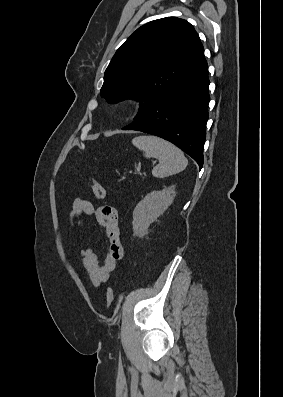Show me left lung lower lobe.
I'll return each mask as SVG.
<instances>
[{
  "label": "left lung lower lobe",
  "instance_id": "1",
  "mask_svg": "<svg viewBox=\"0 0 283 397\" xmlns=\"http://www.w3.org/2000/svg\"><path fill=\"white\" fill-rule=\"evenodd\" d=\"M207 62L160 96L123 130H137L166 139L203 166V146L209 117Z\"/></svg>",
  "mask_w": 283,
  "mask_h": 397
}]
</instances>
